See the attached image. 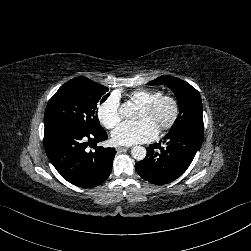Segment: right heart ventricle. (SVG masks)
Listing matches in <instances>:
<instances>
[{
    "label": "right heart ventricle",
    "mask_w": 251,
    "mask_h": 251,
    "mask_svg": "<svg viewBox=\"0 0 251 251\" xmlns=\"http://www.w3.org/2000/svg\"><path fill=\"white\" fill-rule=\"evenodd\" d=\"M162 94L163 92L159 89L140 88L130 93V99L142 106L150 103Z\"/></svg>",
    "instance_id": "obj_1"
}]
</instances>
